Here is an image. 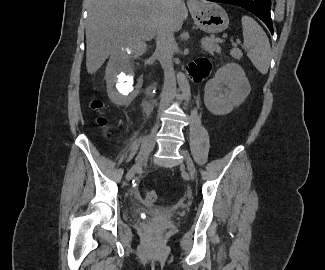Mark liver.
<instances>
[{
    "label": "liver",
    "instance_id": "obj_1",
    "mask_svg": "<svg viewBox=\"0 0 325 270\" xmlns=\"http://www.w3.org/2000/svg\"><path fill=\"white\" fill-rule=\"evenodd\" d=\"M164 13L162 0H89L86 25V67L95 73L121 45L143 53L157 33ZM187 8L177 0L171 8L173 32L182 28Z\"/></svg>",
    "mask_w": 325,
    "mask_h": 270
}]
</instances>
